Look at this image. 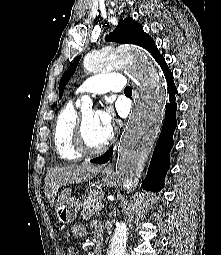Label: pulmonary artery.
Masks as SVG:
<instances>
[{
	"label": "pulmonary artery",
	"instance_id": "pulmonary-artery-1",
	"mask_svg": "<svg viewBox=\"0 0 221 255\" xmlns=\"http://www.w3.org/2000/svg\"><path fill=\"white\" fill-rule=\"evenodd\" d=\"M124 77L117 73H106L85 80L75 91L76 96L84 94H104L109 91L120 92L124 89Z\"/></svg>",
	"mask_w": 221,
	"mask_h": 255
}]
</instances>
